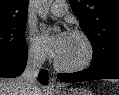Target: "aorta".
Wrapping results in <instances>:
<instances>
[{
    "instance_id": "1",
    "label": "aorta",
    "mask_w": 119,
    "mask_h": 95,
    "mask_svg": "<svg viewBox=\"0 0 119 95\" xmlns=\"http://www.w3.org/2000/svg\"><path fill=\"white\" fill-rule=\"evenodd\" d=\"M52 3V0H37L36 8L39 16L43 19H47V12Z\"/></svg>"
}]
</instances>
